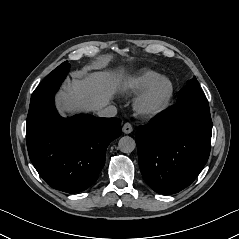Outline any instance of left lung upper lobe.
I'll return each mask as SVG.
<instances>
[{"instance_id": "obj_1", "label": "left lung upper lobe", "mask_w": 239, "mask_h": 239, "mask_svg": "<svg viewBox=\"0 0 239 239\" xmlns=\"http://www.w3.org/2000/svg\"><path fill=\"white\" fill-rule=\"evenodd\" d=\"M190 99L207 101L195 77L189 80L187 85L179 92L177 103H180L185 100H190Z\"/></svg>"}]
</instances>
